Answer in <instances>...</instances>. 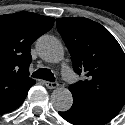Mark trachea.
I'll use <instances>...</instances> for the list:
<instances>
[{
    "instance_id": "trachea-1",
    "label": "trachea",
    "mask_w": 125,
    "mask_h": 125,
    "mask_svg": "<svg viewBox=\"0 0 125 125\" xmlns=\"http://www.w3.org/2000/svg\"><path fill=\"white\" fill-rule=\"evenodd\" d=\"M32 77L44 79V80H47L50 82H55V77H54L53 73L51 72L50 69H47V68L38 69L37 71H35L32 74Z\"/></svg>"
}]
</instances>
